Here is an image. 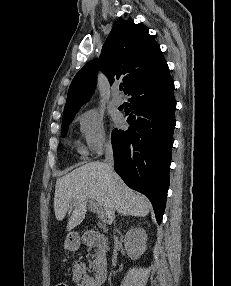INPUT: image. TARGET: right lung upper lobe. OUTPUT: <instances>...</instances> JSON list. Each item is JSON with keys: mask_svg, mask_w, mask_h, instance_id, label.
<instances>
[{"mask_svg": "<svg viewBox=\"0 0 231 286\" xmlns=\"http://www.w3.org/2000/svg\"><path fill=\"white\" fill-rule=\"evenodd\" d=\"M98 68L110 83L121 79L124 92L138 80L161 76L169 71L159 45L148 30L135 24L133 19L119 20L103 45L99 60L88 62L75 75L69 87L64 115L78 111L91 97Z\"/></svg>", "mask_w": 231, "mask_h": 286, "instance_id": "1", "label": "right lung upper lobe"}]
</instances>
